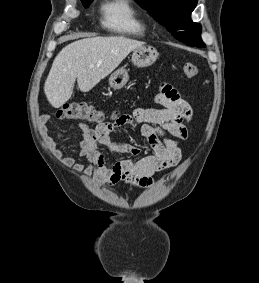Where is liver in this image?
<instances>
[{
  "label": "liver",
  "mask_w": 259,
  "mask_h": 283,
  "mask_svg": "<svg viewBox=\"0 0 259 283\" xmlns=\"http://www.w3.org/2000/svg\"><path fill=\"white\" fill-rule=\"evenodd\" d=\"M142 41L123 36L89 37L64 47L55 57L44 84L47 100L54 108L65 104L73 94L77 79L82 92H88L113 72Z\"/></svg>",
  "instance_id": "liver-1"
}]
</instances>
